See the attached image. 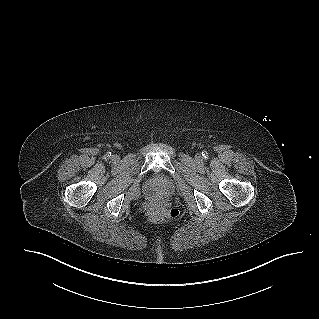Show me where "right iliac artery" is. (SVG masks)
I'll list each match as a JSON object with an SVG mask.
<instances>
[{"label":"right iliac artery","instance_id":"obj_1","mask_svg":"<svg viewBox=\"0 0 319 319\" xmlns=\"http://www.w3.org/2000/svg\"><path fill=\"white\" fill-rule=\"evenodd\" d=\"M111 156V153L110 152H107L106 153V158H109Z\"/></svg>","mask_w":319,"mask_h":319}]
</instances>
